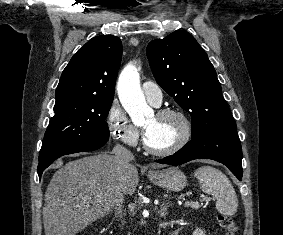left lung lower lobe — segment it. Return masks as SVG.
<instances>
[{"mask_svg":"<svg viewBox=\"0 0 283 235\" xmlns=\"http://www.w3.org/2000/svg\"><path fill=\"white\" fill-rule=\"evenodd\" d=\"M194 159L216 160L239 180L242 178V149L236 130L194 138L175 154L156 162L177 166Z\"/></svg>","mask_w":283,"mask_h":235,"instance_id":"0a47b994","label":"left lung lower lobe"}]
</instances>
